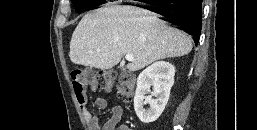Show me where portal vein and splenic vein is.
<instances>
[{
	"instance_id": "1",
	"label": "portal vein and splenic vein",
	"mask_w": 257,
	"mask_h": 130,
	"mask_svg": "<svg viewBox=\"0 0 257 130\" xmlns=\"http://www.w3.org/2000/svg\"><path fill=\"white\" fill-rule=\"evenodd\" d=\"M125 59L127 60V61H134V57H133V55H131V54H126L125 55Z\"/></svg>"
}]
</instances>
